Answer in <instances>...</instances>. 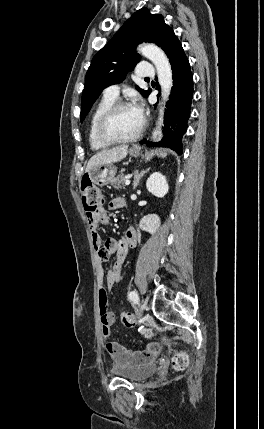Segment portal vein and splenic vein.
I'll list each match as a JSON object with an SVG mask.
<instances>
[{
  "instance_id": "1",
  "label": "portal vein and splenic vein",
  "mask_w": 264,
  "mask_h": 429,
  "mask_svg": "<svg viewBox=\"0 0 264 429\" xmlns=\"http://www.w3.org/2000/svg\"><path fill=\"white\" fill-rule=\"evenodd\" d=\"M130 184V179L129 178H126V180H125V185H129Z\"/></svg>"
}]
</instances>
